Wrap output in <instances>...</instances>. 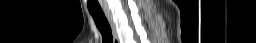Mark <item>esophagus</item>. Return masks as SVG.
I'll return each instance as SVG.
<instances>
[{"label": "esophagus", "instance_id": "1", "mask_svg": "<svg viewBox=\"0 0 256 43\" xmlns=\"http://www.w3.org/2000/svg\"><path fill=\"white\" fill-rule=\"evenodd\" d=\"M104 14L110 24L112 33H113V43H119L118 37H117V33H116V28H115V24L114 21L112 19V15L110 13V11L108 9H104Z\"/></svg>", "mask_w": 256, "mask_h": 43}]
</instances>
